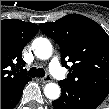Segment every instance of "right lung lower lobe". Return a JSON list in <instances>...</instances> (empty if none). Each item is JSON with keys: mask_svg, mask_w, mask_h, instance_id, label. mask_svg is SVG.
I'll list each match as a JSON object with an SVG mask.
<instances>
[{"mask_svg": "<svg viewBox=\"0 0 109 109\" xmlns=\"http://www.w3.org/2000/svg\"><path fill=\"white\" fill-rule=\"evenodd\" d=\"M30 80L31 78L24 80L16 84L15 86L9 88L8 90L1 92V109L14 108L18 104L22 96L25 84Z\"/></svg>", "mask_w": 109, "mask_h": 109, "instance_id": "98d812e1", "label": "right lung lower lobe"}]
</instances>
